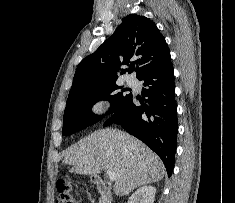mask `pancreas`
Segmentation results:
<instances>
[{"label": "pancreas", "mask_w": 235, "mask_h": 203, "mask_svg": "<svg viewBox=\"0 0 235 203\" xmlns=\"http://www.w3.org/2000/svg\"><path fill=\"white\" fill-rule=\"evenodd\" d=\"M100 203H102V199H100Z\"/></svg>", "instance_id": "cf45deb5"}]
</instances>
